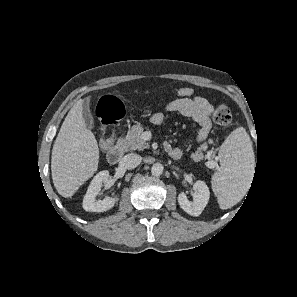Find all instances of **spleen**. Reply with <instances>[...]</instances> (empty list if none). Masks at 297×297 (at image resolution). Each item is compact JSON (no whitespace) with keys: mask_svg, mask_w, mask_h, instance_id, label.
<instances>
[{"mask_svg":"<svg viewBox=\"0 0 297 297\" xmlns=\"http://www.w3.org/2000/svg\"><path fill=\"white\" fill-rule=\"evenodd\" d=\"M220 169L212 177V188L220 202H238L250 183L254 152L243 127L235 129L219 150Z\"/></svg>","mask_w":297,"mask_h":297,"instance_id":"spleen-1","label":"spleen"}]
</instances>
